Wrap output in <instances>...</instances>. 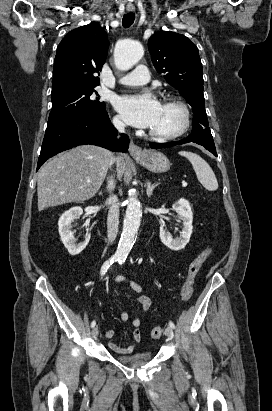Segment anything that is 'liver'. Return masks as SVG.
Listing matches in <instances>:
<instances>
[{"mask_svg":"<svg viewBox=\"0 0 272 411\" xmlns=\"http://www.w3.org/2000/svg\"><path fill=\"white\" fill-rule=\"evenodd\" d=\"M111 159L112 153L107 149L82 145L49 160L38 172V210L95 196L111 166ZM116 164L118 177L122 178L124 157L119 156Z\"/></svg>","mask_w":272,"mask_h":411,"instance_id":"1","label":"liver"}]
</instances>
